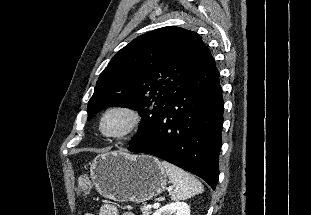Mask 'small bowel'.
<instances>
[{
    "mask_svg": "<svg viewBox=\"0 0 311 215\" xmlns=\"http://www.w3.org/2000/svg\"><path fill=\"white\" fill-rule=\"evenodd\" d=\"M84 215H94L92 213H85ZM98 215H135L132 212L120 213L117 207L112 204H104L101 206Z\"/></svg>",
    "mask_w": 311,
    "mask_h": 215,
    "instance_id": "small-bowel-1",
    "label": "small bowel"
}]
</instances>
